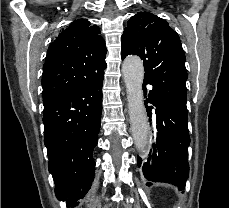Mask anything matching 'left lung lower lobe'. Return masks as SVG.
<instances>
[{
	"mask_svg": "<svg viewBox=\"0 0 229 208\" xmlns=\"http://www.w3.org/2000/svg\"><path fill=\"white\" fill-rule=\"evenodd\" d=\"M145 84V83H144ZM146 95V89H144ZM155 108L154 143L145 162L138 157V166L143 169L144 177L152 182H167L184 189L189 177L187 110L175 106L161 92L153 89L148 95ZM153 107H147L152 116ZM152 121V120H150ZM147 185H151L148 183Z\"/></svg>",
	"mask_w": 229,
	"mask_h": 208,
	"instance_id": "obj_1",
	"label": "left lung lower lobe"
}]
</instances>
